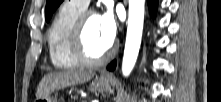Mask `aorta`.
I'll use <instances>...</instances> for the list:
<instances>
[{
	"mask_svg": "<svg viewBox=\"0 0 221 102\" xmlns=\"http://www.w3.org/2000/svg\"><path fill=\"white\" fill-rule=\"evenodd\" d=\"M145 0H129V16L126 43L122 61V73L125 77L132 72L141 45Z\"/></svg>",
	"mask_w": 221,
	"mask_h": 102,
	"instance_id": "aorta-1",
	"label": "aorta"
}]
</instances>
